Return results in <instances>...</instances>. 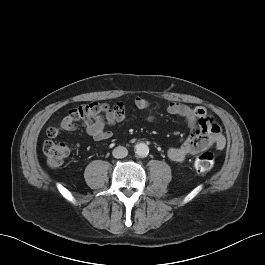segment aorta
Masks as SVG:
<instances>
[{
    "label": "aorta",
    "instance_id": "1",
    "mask_svg": "<svg viewBox=\"0 0 265 265\" xmlns=\"http://www.w3.org/2000/svg\"><path fill=\"white\" fill-rule=\"evenodd\" d=\"M136 154L140 157H146L149 153V147L145 143H138L135 146Z\"/></svg>",
    "mask_w": 265,
    "mask_h": 265
}]
</instances>
